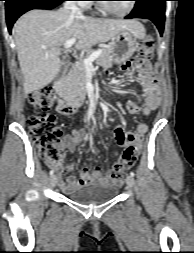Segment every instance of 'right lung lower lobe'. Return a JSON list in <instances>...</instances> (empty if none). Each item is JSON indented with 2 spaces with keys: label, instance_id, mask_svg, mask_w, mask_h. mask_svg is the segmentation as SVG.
Here are the masks:
<instances>
[{
  "label": "right lung lower lobe",
  "instance_id": "right-lung-lower-lobe-1",
  "mask_svg": "<svg viewBox=\"0 0 194 253\" xmlns=\"http://www.w3.org/2000/svg\"><path fill=\"white\" fill-rule=\"evenodd\" d=\"M6 2V21L11 32L15 21L25 12L32 9H53L65 0H4Z\"/></svg>",
  "mask_w": 194,
  "mask_h": 253
}]
</instances>
